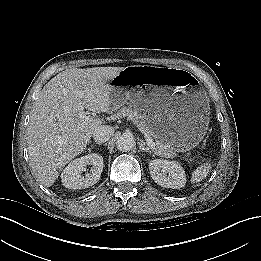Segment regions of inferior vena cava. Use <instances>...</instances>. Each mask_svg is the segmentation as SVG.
Segmentation results:
<instances>
[{"label":"inferior vena cava","mask_w":261,"mask_h":261,"mask_svg":"<svg viewBox=\"0 0 261 261\" xmlns=\"http://www.w3.org/2000/svg\"><path fill=\"white\" fill-rule=\"evenodd\" d=\"M113 130L110 126H99L93 132V138L96 143H103L110 139Z\"/></svg>","instance_id":"1"}]
</instances>
